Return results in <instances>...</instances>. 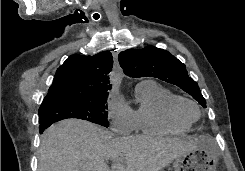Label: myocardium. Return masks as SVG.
<instances>
[{
	"label": "myocardium",
	"mask_w": 245,
	"mask_h": 171,
	"mask_svg": "<svg viewBox=\"0 0 245 171\" xmlns=\"http://www.w3.org/2000/svg\"><path fill=\"white\" fill-rule=\"evenodd\" d=\"M183 104H189L191 106H193L196 111H197V118L194 120H189L187 119L182 111H181V107ZM168 111L169 114L177 121L182 122V123H186L188 125H191L193 123H195L196 121L199 120L200 116H201V111L199 106L197 105L196 102H194L193 100L183 97V96H174L169 102H168Z\"/></svg>",
	"instance_id": "obj_1"
}]
</instances>
